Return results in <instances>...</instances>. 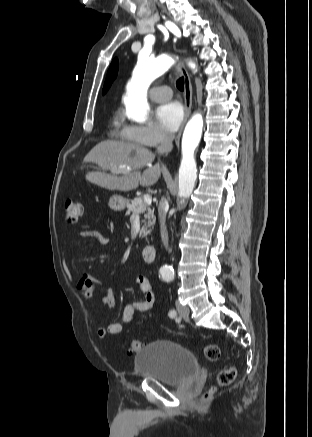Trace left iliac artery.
Wrapping results in <instances>:
<instances>
[{
	"instance_id": "left-iliac-artery-1",
	"label": "left iliac artery",
	"mask_w": 312,
	"mask_h": 437,
	"mask_svg": "<svg viewBox=\"0 0 312 437\" xmlns=\"http://www.w3.org/2000/svg\"><path fill=\"white\" fill-rule=\"evenodd\" d=\"M169 316H170L171 318L175 317V316H176V311H175V310H170V311H169Z\"/></svg>"
}]
</instances>
